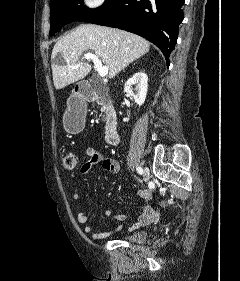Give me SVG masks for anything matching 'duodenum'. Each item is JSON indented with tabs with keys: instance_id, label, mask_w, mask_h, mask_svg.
I'll list each match as a JSON object with an SVG mask.
<instances>
[{
	"instance_id": "obj_1",
	"label": "duodenum",
	"mask_w": 240,
	"mask_h": 281,
	"mask_svg": "<svg viewBox=\"0 0 240 281\" xmlns=\"http://www.w3.org/2000/svg\"><path fill=\"white\" fill-rule=\"evenodd\" d=\"M80 97L86 101L96 100L98 96L91 86H84L78 91ZM105 140L108 144L115 145L119 142L117 118L112 110L109 111L105 126Z\"/></svg>"
}]
</instances>
